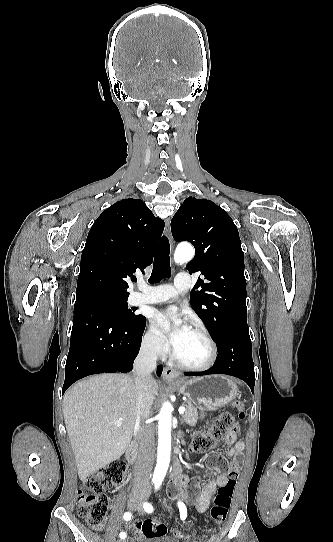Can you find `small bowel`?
Here are the masks:
<instances>
[{
	"label": "small bowel",
	"mask_w": 333,
	"mask_h": 542,
	"mask_svg": "<svg viewBox=\"0 0 333 542\" xmlns=\"http://www.w3.org/2000/svg\"><path fill=\"white\" fill-rule=\"evenodd\" d=\"M225 442L226 444L232 446V448L227 451V455L229 457H232L235 461H240L243 450L245 448L244 441L238 438V435L236 432H230L225 436ZM209 459L211 462L217 463L220 461L221 456L219 453L213 452L210 454ZM215 471L217 472L216 477L212 480H209L204 485V487L202 488V490L200 491V493L195 499V506L199 512H205L209 509V507L211 506L214 500L216 490L218 487L224 486L228 483L235 485L236 479L229 478L225 476L224 474H221L220 472H218V470L216 469ZM188 483H189V476L186 474L180 473L177 476H173V478H171V480L168 482L166 486V489H165L166 495L172 500L184 501L188 504L190 502L189 495L186 491V487ZM140 526H141V523L139 522L126 523L120 527V531L121 532H127V531L137 532ZM174 535L177 538L184 539L185 542L187 540V537L181 531H178V530L174 531ZM129 542H135V540L130 539Z\"/></svg>",
	"instance_id": "obj_1"
}]
</instances>
